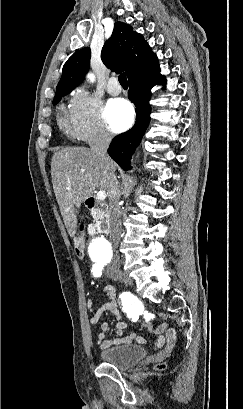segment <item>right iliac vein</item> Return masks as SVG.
Instances as JSON below:
<instances>
[{
	"label": "right iliac vein",
	"mask_w": 243,
	"mask_h": 409,
	"mask_svg": "<svg viewBox=\"0 0 243 409\" xmlns=\"http://www.w3.org/2000/svg\"><path fill=\"white\" fill-rule=\"evenodd\" d=\"M114 276L117 279L123 281L125 284L133 285V281L128 276H126L125 274H123L121 272L114 274Z\"/></svg>",
	"instance_id": "1"
}]
</instances>
